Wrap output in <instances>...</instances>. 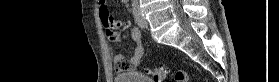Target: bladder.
Listing matches in <instances>:
<instances>
[{
    "label": "bladder",
    "instance_id": "1",
    "mask_svg": "<svg viewBox=\"0 0 279 82\" xmlns=\"http://www.w3.org/2000/svg\"><path fill=\"white\" fill-rule=\"evenodd\" d=\"M116 82H154L140 72H123L114 77Z\"/></svg>",
    "mask_w": 279,
    "mask_h": 82
}]
</instances>
